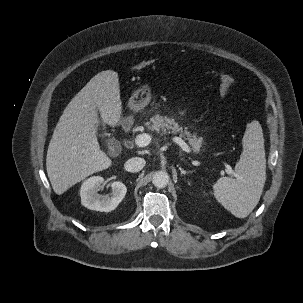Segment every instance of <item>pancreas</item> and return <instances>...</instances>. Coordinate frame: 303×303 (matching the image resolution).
<instances>
[{"label": "pancreas", "mask_w": 303, "mask_h": 303, "mask_svg": "<svg viewBox=\"0 0 303 303\" xmlns=\"http://www.w3.org/2000/svg\"><path fill=\"white\" fill-rule=\"evenodd\" d=\"M146 126L149 130L156 131L161 134H179L181 137L188 140L194 151H198L203 143L202 137H197L196 133H190L187 127L183 128L175 122L173 118H169L167 116L163 117L157 114L146 123Z\"/></svg>", "instance_id": "1"}]
</instances>
